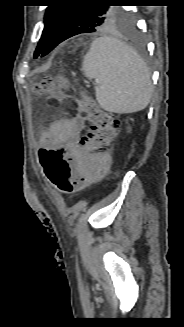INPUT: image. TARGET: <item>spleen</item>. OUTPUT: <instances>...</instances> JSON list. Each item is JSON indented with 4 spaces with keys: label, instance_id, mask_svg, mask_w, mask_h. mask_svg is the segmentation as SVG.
<instances>
[{
    "label": "spleen",
    "instance_id": "1",
    "mask_svg": "<svg viewBox=\"0 0 184 327\" xmlns=\"http://www.w3.org/2000/svg\"><path fill=\"white\" fill-rule=\"evenodd\" d=\"M81 70L95 79V95L106 111L133 113L147 107L152 95L150 72L127 44L103 36L93 40Z\"/></svg>",
    "mask_w": 184,
    "mask_h": 327
}]
</instances>
